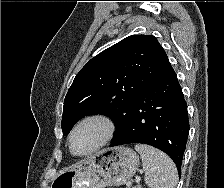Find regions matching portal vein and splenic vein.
Returning <instances> with one entry per match:
<instances>
[{
    "label": "portal vein and splenic vein",
    "instance_id": "obj_1",
    "mask_svg": "<svg viewBox=\"0 0 224 188\" xmlns=\"http://www.w3.org/2000/svg\"><path fill=\"white\" fill-rule=\"evenodd\" d=\"M140 181V177H136V182H139ZM128 187H130L131 186V182H128L127 184H126Z\"/></svg>",
    "mask_w": 224,
    "mask_h": 188
}]
</instances>
